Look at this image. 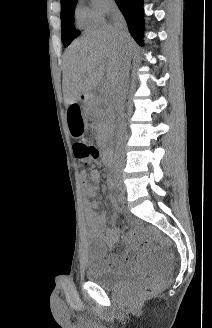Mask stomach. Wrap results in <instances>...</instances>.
<instances>
[{
    "instance_id": "obj_1",
    "label": "stomach",
    "mask_w": 212,
    "mask_h": 328,
    "mask_svg": "<svg viewBox=\"0 0 212 328\" xmlns=\"http://www.w3.org/2000/svg\"><path fill=\"white\" fill-rule=\"evenodd\" d=\"M84 109L81 102H68L66 115L68 117L67 128L69 134L73 135L74 140H81L84 134Z\"/></svg>"
}]
</instances>
